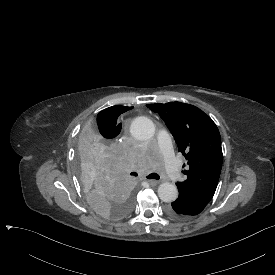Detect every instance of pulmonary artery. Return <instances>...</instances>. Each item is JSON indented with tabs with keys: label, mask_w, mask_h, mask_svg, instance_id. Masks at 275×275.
<instances>
[{
	"label": "pulmonary artery",
	"mask_w": 275,
	"mask_h": 275,
	"mask_svg": "<svg viewBox=\"0 0 275 275\" xmlns=\"http://www.w3.org/2000/svg\"><path fill=\"white\" fill-rule=\"evenodd\" d=\"M157 138L159 141H161L158 145V151L164 160V164L166 166V175L169 180L176 181L180 177V171L177 156L173 147L168 142L170 133L166 129H161L157 133Z\"/></svg>",
	"instance_id": "pulmonary-artery-1"
}]
</instances>
